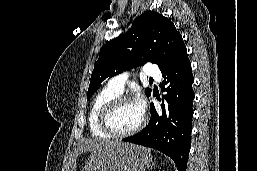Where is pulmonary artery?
Masks as SVG:
<instances>
[{"label": "pulmonary artery", "mask_w": 257, "mask_h": 171, "mask_svg": "<svg viewBox=\"0 0 257 171\" xmlns=\"http://www.w3.org/2000/svg\"><path fill=\"white\" fill-rule=\"evenodd\" d=\"M144 74L149 77L155 78V79L161 78V74H160L158 67L152 63L145 64ZM128 78H129L128 72H124V73L115 75L114 77H112L109 80L108 87L110 89H112L113 91L121 94L124 90V87H125V84H126Z\"/></svg>", "instance_id": "obj_1"}]
</instances>
